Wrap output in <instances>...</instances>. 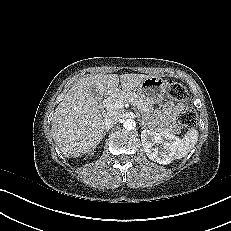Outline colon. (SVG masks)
<instances>
[{"instance_id": "1", "label": "colon", "mask_w": 231, "mask_h": 231, "mask_svg": "<svg viewBox=\"0 0 231 231\" xmlns=\"http://www.w3.org/2000/svg\"><path fill=\"white\" fill-rule=\"evenodd\" d=\"M168 95L172 99L184 103L183 108L179 114L180 124L186 128H192L195 126L197 121V114L189 101V94L187 89L177 82H171L168 86Z\"/></svg>"}]
</instances>
